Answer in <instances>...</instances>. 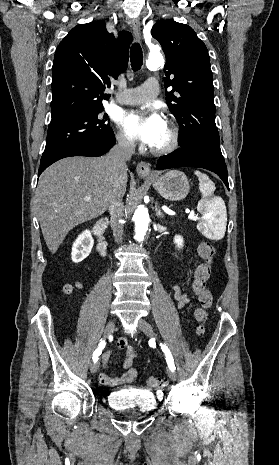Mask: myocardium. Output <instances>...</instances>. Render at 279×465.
<instances>
[{
	"label": "myocardium",
	"mask_w": 279,
	"mask_h": 465,
	"mask_svg": "<svg viewBox=\"0 0 279 465\" xmlns=\"http://www.w3.org/2000/svg\"><path fill=\"white\" fill-rule=\"evenodd\" d=\"M166 124L168 125V127L170 129V135H171L170 141L166 146L161 147V148H154V147L151 146L149 148V150L154 155H166V154H169V153L175 151L177 149V147L179 146V143H180V130H179L178 126L173 121H170V120H168L166 122Z\"/></svg>",
	"instance_id": "myocardium-1"
}]
</instances>
